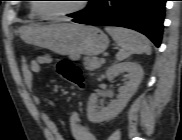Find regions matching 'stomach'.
<instances>
[{
  "instance_id": "1",
  "label": "stomach",
  "mask_w": 182,
  "mask_h": 140,
  "mask_svg": "<svg viewBox=\"0 0 182 140\" xmlns=\"http://www.w3.org/2000/svg\"><path fill=\"white\" fill-rule=\"evenodd\" d=\"M21 38L30 44L47 48L59 55L96 56L109 44L99 28L69 23L30 24L19 28Z\"/></svg>"
}]
</instances>
